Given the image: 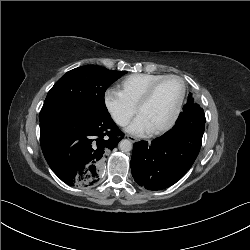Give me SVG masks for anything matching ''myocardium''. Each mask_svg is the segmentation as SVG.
Here are the masks:
<instances>
[{
	"label": "myocardium",
	"mask_w": 250,
	"mask_h": 250,
	"mask_svg": "<svg viewBox=\"0 0 250 250\" xmlns=\"http://www.w3.org/2000/svg\"><path fill=\"white\" fill-rule=\"evenodd\" d=\"M167 79H176L180 82L181 84V93L178 99V102L176 104L175 110L172 114V116L170 117V119L162 126L153 129L150 131V133L152 135H159L162 134L166 131H168L177 121L181 110H182V105L185 99V95H186V84L185 81L183 80L182 77L178 76V75H174V74H168V75H164L161 78L157 79L156 81H154L144 92V94L141 96V98L139 99L137 105H136V110L137 113L139 114L140 110L142 109V107L149 102V100L152 98L155 90L157 89V87L164 82Z\"/></svg>",
	"instance_id": "1"
}]
</instances>
